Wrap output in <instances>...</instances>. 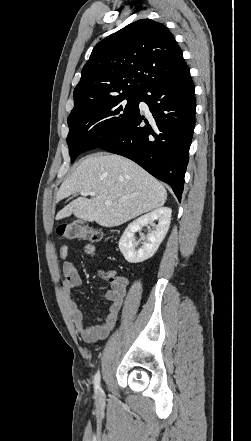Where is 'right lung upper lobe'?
<instances>
[{"label":"right lung upper lobe","mask_w":251,"mask_h":441,"mask_svg":"<svg viewBox=\"0 0 251 441\" xmlns=\"http://www.w3.org/2000/svg\"><path fill=\"white\" fill-rule=\"evenodd\" d=\"M184 66L182 51L164 24L133 22L94 47L74 89L72 111L93 100L140 95Z\"/></svg>","instance_id":"obj_1"}]
</instances>
